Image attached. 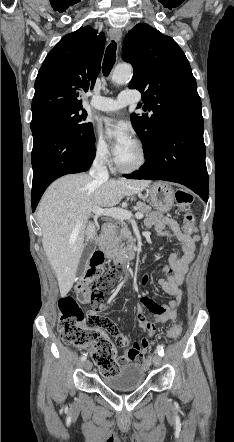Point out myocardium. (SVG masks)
Instances as JSON below:
<instances>
[{"label":"myocardium","instance_id":"f54148a6","mask_svg":"<svg viewBox=\"0 0 234 442\" xmlns=\"http://www.w3.org/2000/svg\"><path fill=\"white\" fill-rule=\"evenodd\" d=\"M134 144L138 150L139 159L132 166H124L118 161V158L116 157L115 158V166L120 172L133 173V172H136V171H139L140 169H142L144 167V165L146 164L147 152H146L144 145L138 140L134 141Z\"/></svg>","mask_w":234,"mask_h":442}]
</instances>
